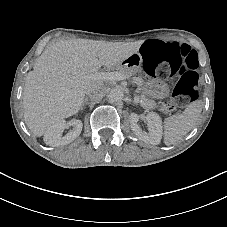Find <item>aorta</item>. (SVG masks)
<instances>
[{
  "mask_svg": "<svg viewBox=\"0 0 227 227\" xmlns=\"http://www.w3.org/2000/svg\"><path fill=\"white\" fill-rule=\"evenodd\" d=\"M107 98L111 103H118L123 100L124 92L120 87L113 88L109 91Z\"/></svg>",
  "mask_w": 227,
  "mask_h": 227,
  "instance_id": "obj_1",
  "label": "aorta"
}]
</instances>
